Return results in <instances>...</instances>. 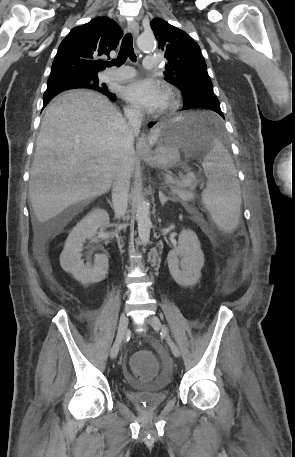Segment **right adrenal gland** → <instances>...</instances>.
<instances>
[{
	"mask_svg": "<svg viewBox=\"0 0 295 457\" xmlns=\"http://www.w3.org/2000/svg\"><path fill=\"white\" fill-rule=\"evenodd\" d=\"M107 201H108V203L110 204V206H111V207H113V205H112L111 201H110V200H107Z\"/></svg>",
	"mask_w": 295,
	"mask_h": 457,
	"instance_id": "obj_1",
	"label": "right adrenal gland"
}]
</instances>
